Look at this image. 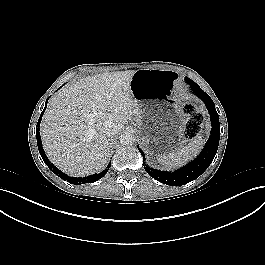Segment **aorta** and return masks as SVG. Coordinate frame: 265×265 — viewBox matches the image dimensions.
Returning <instances> with one entry per match:
<instances>
[{"label":"aorta","instance_id":"762f6f07","mask_svg":"<svg viewBox=\"0 0 265 265\" xmlns=\"http://www.w3.org/2000/svg\"><path fill=\"white\" fill-rule=\"evenodd\" d=\"M135 142V136L131 132H125L120 136V143L125 146L132 145Z\"/></svg>","mask_w":265,"mask_h":265}]
</instances>
